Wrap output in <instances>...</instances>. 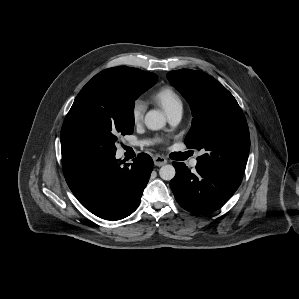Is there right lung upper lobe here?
Returning <instances> with one entry per match:
<instances>
[{
  "label": "right lung upper lobe",
  "mask_w": 299,
  "mask_h": 299,
  "mask_svg": "<svg viewBox=\"0 0 299 299\" xmlns=\"http://www.w3.org/2000/svg\"><path fill=\"white\" fill-rule=\"evenodd\" d=\"M102 72L119 73L127 82L133 85H154L158 79V76L154 73L145 72L131 67H114Z\"/></svg>",
  "instance_id": "1"
}]
</instances>
